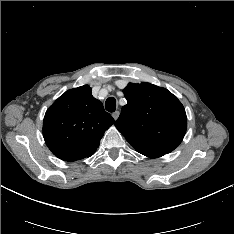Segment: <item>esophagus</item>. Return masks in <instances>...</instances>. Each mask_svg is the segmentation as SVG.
Masks as SVG:
<instances>
[{
  "instance_id": "1",
  "label": "esophagus",
  "mask_w": 234,
  "mask_h": 234,
  "mask_svg": "<svg viewBox=\"0 0 234 234\" xmlns=\"http://www.w3.org/2000/svg\"><path fill=\"white\" fill-rule=\"evenodd\" d=\"M119 114H120V112H119V111H115V112H113V113H112V117H113V119H114V120H117V118L119 117Z\"/></svg>"
}]
</instances>
